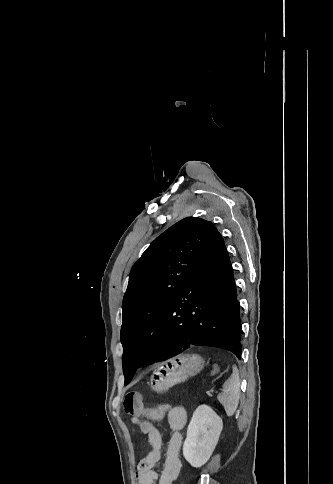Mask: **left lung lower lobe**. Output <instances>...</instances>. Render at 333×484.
<instances>
[{
  "mask_svg": "<svg viewBox=\"0 0 333 484\" xmlns=\"http://www.w3.org/2000/svg\"><path fill=\"white\" fill-rule=\"evenodd\" d=\"M154 330L142 365L172 358L192 345L226 349L240 359L242 331L236 284L223 238L213 224L183 271Z\"/></svg>",
  "mask_w": 333,
  "mask_h": 484,
  "instance_id": "0a47b994",
  "label": "left lung lower lobe"
}]
</instances>
